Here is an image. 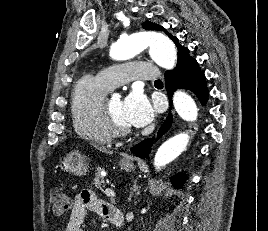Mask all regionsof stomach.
<instances>
[{"label":"stomach","mask_w":268,"mask_h":231,"mask_svg":"<svg viewBox=\"0 0 268 231\" xmlns=\"http://www.w3.org/2000/svg\"><path fill=\"white\" fill-rule=\"evenodd\" d=\"M120 166L126 172H131L135 166L130 160H121ZM59 167L64 172H70L77 176L85 175L88 171L87 158L78 150L72 151L64 156L59 163Z\"/></svg>","instance_id":"1"}]
</instances>
